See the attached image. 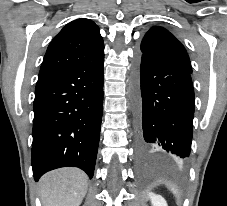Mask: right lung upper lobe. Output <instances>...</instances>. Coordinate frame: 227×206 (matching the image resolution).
<instances>
[{"mask_svg": "<svg viewBox=\"0 0 227 206\" xmlns=\"http://www.w3.org/2000/svg\"><path fill=\"white\" fill-rule=\"evenodd\" d=\"M104 59V43L98 26L80 18L68 23L51 41L38 79L94 64Z\"/></svg>", "mask_w": 227, "mask_h": 206, "instance_id": "cb5924a9", "label": "right lung upper lobe"}]
</instances>
